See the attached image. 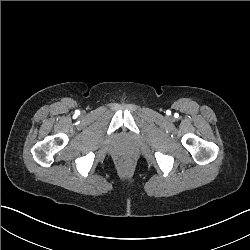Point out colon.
I'll return each instance as SVG.
<instances>
[{"mask_svg":"<svg viewBox=\"0 0 250 250\" xmlns=\"http://www.w3.org/2000/svg\"><path fill=\"white\" fill-rule=\"evenodd\" d=\"M136 167V162L131 157H122L117 162V168L123 175H129Z\"/></svg>","mask_w":250,"mask_h":250,"instance_id":"obj_1","label":"colon"}]
</instances>
